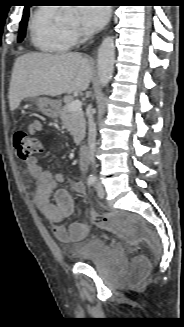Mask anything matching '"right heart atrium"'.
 <instances>
[{"label": "right heart atrium", "mask_w": 184, "mask_h": 327, "mask_svg": "<svg viewBox=\"0 0 184 327\" xmlns=\"http://www.w3.org/2000/svg\"><path fill=\"white\" fill-rule=\"evenodd\" d=\"M72 37L74 39V42H77L80 38V34L77 31H71Z\"/></svg>", "instance_id": "obj_1"}]
</instances>
